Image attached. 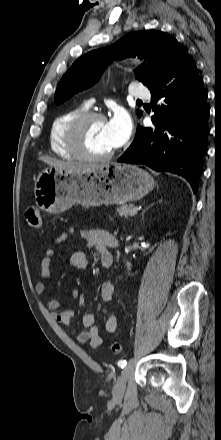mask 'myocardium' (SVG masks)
<instances>
[{"label":"myocardium","mask_w":221,"mask_h":440,"mask_svg":"<svg viewBox=\"0 0 221 440\" xmlns=\"http://www.w3.org/2000/svg\"><path fill=\"white\" fill-rule=\"evenodd\" d=\"M93 120L107 121L106 116L97 111H85L76 116L67 126L66 144L70 152L78 159L86 161H104L113 157L115 150L105 154H93L84 144V131L86 125Z\"/></svg>","instance_id":"1"}]
</instances>
